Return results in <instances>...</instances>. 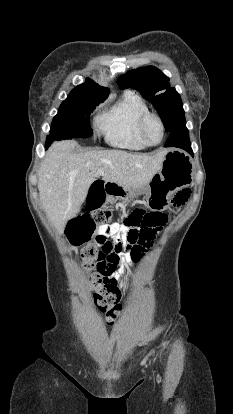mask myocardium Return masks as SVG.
Here are the masks:
<instances>
[{
	"label": "myocardium",
	"instance_id": "f54148a6",
	"mask_svg": "<svg viewBox=\"0 0 233 414\" xmlns=\"http://www.w3.org/2000/svg\"><path fill=\"white\" fill-rule=\"evenodd\" d=\"M151 119H154V120H156L157 122H158V124H159V126H160V129H161V138H160V140L159 141H157V142H152L150 139H149V137H148V135H147V131H146V127H147V123L151 120ZM139 132H140V134H141V136H142V138L149 144V145H157V144H159L162 140H163V138H164V136H165V125H164V122H163V120H162V118L158 115V114H156V113H154V112H147L146 114H144L142 117H141V119H140V121H139Z\"/></svg>",
	"mask_w": 233,
	"mask_h": 414
}]
</instances>
